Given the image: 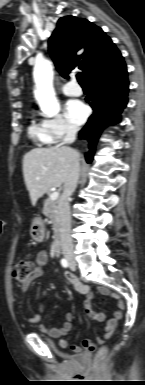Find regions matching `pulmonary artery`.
<instances>
[{"mask_svg":"<svg viewBox=\"0 0 145 385\" xmlns=\"http://www.w3.org/2000/svg\"><path fill=\"white\" fill-rule=\"evenodd\" d=\"M62 92L69 96H79L82 94V88L75 80H71L62 85Z\"/></svg>","mask_w":145,"mask_h":385,"instance_id":"obj_1","label":"pulmonary artery"}]
</instances>
